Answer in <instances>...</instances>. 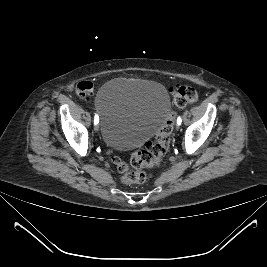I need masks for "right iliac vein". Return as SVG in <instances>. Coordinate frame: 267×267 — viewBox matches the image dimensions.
I'll list each match as a JSON object with an SVG mask.
<instances>
[{
	"label": "right iliac vein",
	"mask_w": 267,
	"mask_h": 267,
	"mask_svg": "<svg viewBox=\"0 0 267 267\" xmlns=\"http://www.w3.org/2000/svg\"><path fill=\"white\" fill-rule=\"evenodd\" d=\"M94 130H95L96 132L99 131V126H98L97 124L94 126Z\"/></svg>",
	"instance_id": "63e3f726"
}]
</instances>
